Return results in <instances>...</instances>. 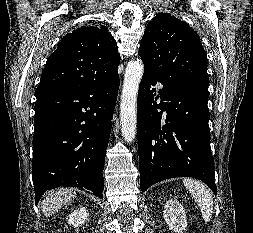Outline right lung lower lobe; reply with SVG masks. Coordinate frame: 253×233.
<instances>
[{
	"label": "right lung lower lobe",
	"mask_w": 253,
	"mask_h": 233,
	"mask_svg": "<svg viewBox=\"0 0 253 233\" xmlns=\"http://www.w3.org/2000/svg\"><path fill=\"white\" fill-rule=\"evenodd\" d=\"M119 87L118 72L37 95L32 179L37 204L47 190L85 187L103 197V168Z\"/></svg>",
	"instance_id": "obj_1"
}]
</instances>
